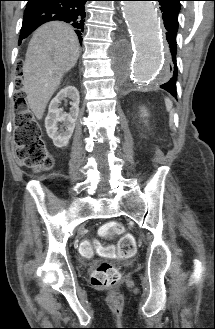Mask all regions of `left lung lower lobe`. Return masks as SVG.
Masks as SVG:
<instances>
[{
    "label": "left lung lower lobe",
    "mask_w": 215,
    "mask_h": 329,
    "mask_svg": "<svg viewBox=\"0 0 215 329\" xmlns=\"http://www.w3.org/2000/svg\"><path fill=\"white\" fill-rule=\"evenodd\" d=\"M160 3V10L164 20V26L167 30V80L160 85V88L168 91L176 98V80H177V41L178 32V14L180 6L176 5L172 0H156Z\"/></svg>",
    "instance_id": "0a47b994"
}]
</instances>
